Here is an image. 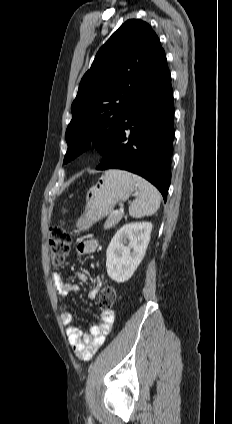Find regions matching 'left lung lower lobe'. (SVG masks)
<instances>
[{"instance_id":"0a47b994","label":"left lung lower lobe","mask_w":232,"mask_h":424,"mask_svg":"<svg viewBox=\"0 0 232 424\" xmlns=\"http://www.w3.org/2000/svg\"><path fill=\"white\" fill-rule=\"evenodd\" d=\"M174 104L166 56L128 104L97 170L123 169L138 174L161 192L171 181Z\"/></svg>"}]
</instances>
